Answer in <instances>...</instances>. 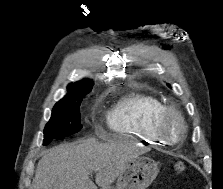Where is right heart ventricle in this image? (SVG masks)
<instances>
[{"instance_id": "e07e8e85", "label": "right heart ventricle", "mask_w": 223, "mask_h": 189, "mask_svg": "<svg viewBox=\"0 0 223 189\" xmlns=\"http://www.w3.org/2000/svg\"><path fill=\"white\" fill-rule=\"evenodd\" d=\"M166 108L156 96L129 93L122 96L108 113V126L118 134L130 135L149 145H164L156 122Z\"/></svg>"}]
</instances>
